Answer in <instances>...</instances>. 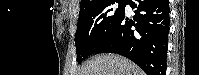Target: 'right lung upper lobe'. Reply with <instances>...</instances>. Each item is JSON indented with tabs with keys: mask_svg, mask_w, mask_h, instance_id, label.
Masks as SVG:
<instances>
[{
	"mask_svg": "<svg viewBox=\"0 0 199 75\" xmlns=\"http://www.w3.org/2000/svg\"><path fill=\"white\" fill-rule=\"evenodd\" d=\"M107 0H81L80 12L89 10Z\"/></svg>",
	"mask_w": 199,
	"mask_h": 75,
	"instance_id": "cb5924a9",
	"label": "right lung upper lobe"
}]
</instances>
